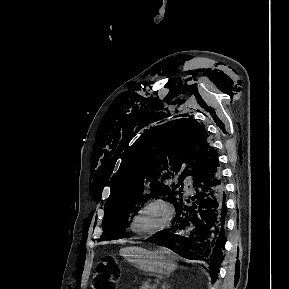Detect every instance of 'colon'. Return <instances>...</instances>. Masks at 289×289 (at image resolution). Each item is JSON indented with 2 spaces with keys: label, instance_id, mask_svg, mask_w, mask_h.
I'll use <instances>...</instances> for the list:
<instances>
[{
  "label": "colon",
  "instance_id": "colon-1",
  "mask_svg": "<svg viewBox=\"0 0 289 289\" xmlns=\"http://www.w3.org/2000/svg\"><path fill=\"white\" fill-rule=\"evenodd\" d=\"M117 283V273L109 260L101 261L93 280V289H114Z\"/></svg>",
  "mask_w": 289,
  "mask_h": 289
}]
</instances>
